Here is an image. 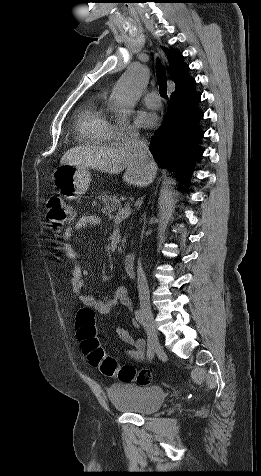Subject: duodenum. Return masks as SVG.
Masks as SVG:
<instances>
[{"label":"duodenum","mask_w":261,"mask_h":476,"mask_svg":"<svg viewBox=\"0 0 261 476\" xmlns=\"http://www.w3.org/2000/svg\"><path fill=\"white\" fill-rule=\"evenodd\" d=\"M125 271L129 276L136 274V256L134 254H127L124 259Z\"/></svg>","instance_id":"duodenum-1"}]
</instances>
